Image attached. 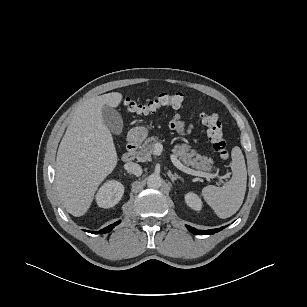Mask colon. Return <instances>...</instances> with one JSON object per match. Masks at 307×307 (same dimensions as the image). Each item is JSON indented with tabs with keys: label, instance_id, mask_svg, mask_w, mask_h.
<instances>
[{
	"label": "colon",
	"instance_id": "5ec220e1",
	"mask_svg": "<svg viewBox=\"0 0 307 307\" xmlns=\"http://www.w3.org/2000/svg\"><path fill=\"white\" fill-rule=\"evenodd\" d=\"M184 103V96L180 93L168 94L162 93L153 100L140 103L130 99L124 101L126 108L136 114L148 115L155 113L161 108L172 107L180 108ZM203 124L207 127V135L213 149L222 159L229 158V150L225 139L222 124L216 113L204 111L201 113Z\"/></svg>",
	"mask_w": 307,
	"mask_h": 307
}]
</instances>
